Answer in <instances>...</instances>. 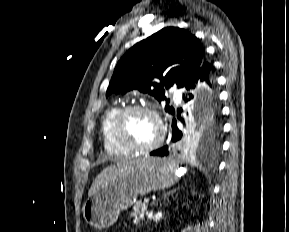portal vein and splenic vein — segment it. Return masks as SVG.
Returning <instances> with one entry per match:
<instances>
[{
  "instance_id": "portal-vein-and-splenic-vein-1",
  "label": "portal vein and splenic vein",
  "mask_w": 289,
  "mask_h": 232,
  "mask_svg": "<svg viewBox=\"0 0 289 232\" xmlns=\"http://www.w3.org/2000/svg\"><path fill=\"white\" fill-rule=\"evenodd\" d=\"M144 203H149V198H145Z\"/></svg>"
}]
</instances>
